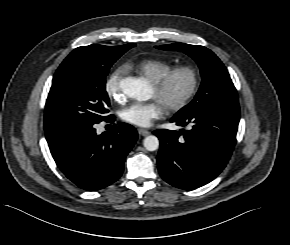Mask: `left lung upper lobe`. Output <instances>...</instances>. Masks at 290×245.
Returning <instances> with one entry per match:
<instances>
[{"instance_id":"5c2ea615","label":"left lung upper lobe","mask_w":290,"mask_h":245,"mask_svg":"<svg viewBox=\"0 0 290 245\" xmlns=\"http://www.w3.org/2000/svg\"><path fill=\"white\" fill-rule=\"evenodd\" d=\"M156 48L184 52L192 57L200 68L202 83L195 98L174 117H182L199 109H213L225 115L240 116L236 88L226 67L211 50L183 43L161 45Z\"/></svg>"}]
</instances>
